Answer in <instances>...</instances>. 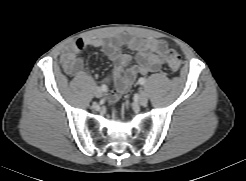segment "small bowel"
<instances>
[{"label": "small bowel", "mask_w": 246, "mask_h": 181, "mask_svg": "<svg viewBox=\"0 0 246 181\" xmlns=\"http://www.w3.org/2000/svg\"><path fill=\"white\" fill-rule=\"evenodd\" d=\"M88 46L100 49L114 64L110 77L114 86L109 89V98L113 101L129 90L138 75L158 72L168 51V46L163 40L153 38L141 39L126 35H116L110 40L79 38L66 46L62 52L61 63L67 74L75 77L82 75L81 54ZM123 46L135 52V64L129 66L132 57L123 51Z\"/></svg>", "instance_id": "c3829d8e"}]
</instances>
